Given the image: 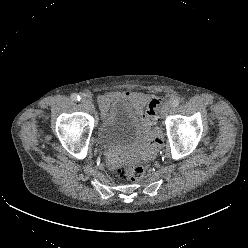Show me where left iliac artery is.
Returning <instances> with one entry per match:
<instances>
[{"label": "left iliac artery", "mask_w": 248, "mask_h": 248, "mask_svg": "<svg viewBox=\"0 0 248 248\" xmlns=\"http://www.w3.org/2000/svg\"><path fill=\"white\" fill-rule=\"evenodd\" d=\"M180 102H181V99L178 98V97H176V98H174V99L171 101V105H172L173 107H177V106L180 104Z\"/></svg>", "instance_id": "1"}]
</instances>
